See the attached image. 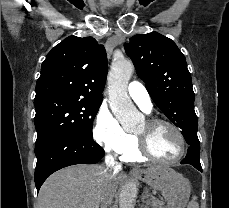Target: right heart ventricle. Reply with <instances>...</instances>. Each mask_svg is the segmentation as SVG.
<instances>
[{"label": "right heart ventricle", "instance_id": "1", "mask_svg": "<svg viewBox=\"0 0 229 208\" xmlns=\"http://www.w3.org/2000/svg\"><path fill=\"white\" fill-rule=\"evenodd\" d=\"M142 155V153H139L138 152V149L136 148L134 151L130 152V153H126L124 154V157L126 159H137V158H140Z\"/></svg>", "mask_w": 229, "mask_h": 208}]
</instances>
